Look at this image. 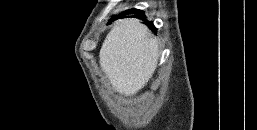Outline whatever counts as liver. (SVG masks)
<instances>
[{"mask_svg": "<svg viewBox=\"0 0 257 130\" xmlns=\"http://www.w3.org/2000/svg\"><path fill=\"white\" fill-rule=\"evenodd\" d=\"M158 42L140 20H118L101 47L100 65L118 93L133 96L153 76Z\"/></svg>", "mask_w": 257, "mask_h": 130, "instance_id": "liver-1", "label": "liver"}]
</instances>
